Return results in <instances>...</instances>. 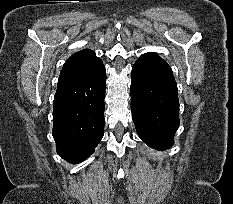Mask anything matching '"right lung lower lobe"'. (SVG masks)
<instances>
[{"label":"right lung lower lobe","instance_id":"1","mask_svg":"<svg viewBox=\"0 0 233 204\" xmlns=\"http://www.w3.org/2000/svg\"><path fill=\"white\" fill-rule=\"evenodd\" d=\"M106 72L58 87L54 97L53 137L57 153L70 163L88 158L104 135Z\"/></svg>","mask_w":233,"mask_h":204}]
</instances>
